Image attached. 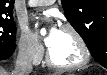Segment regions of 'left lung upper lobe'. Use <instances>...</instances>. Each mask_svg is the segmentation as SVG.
<instances>
[{
	"label": "left lung upper lobe",
	"mask_w": 107,
	"mask_h": 75,
	"mask_svg": "<svg viewBox=\"0 0 107 75\" xmlns=\"http://www.w3.org/2000/svg\"><path fill=\"white\" fill-rule=\"evenodd\" d=\"M61 2L67 20L84 39L91 54L96 53L102 46L107 49V0ZM104 67L107 68L106 65Z\"/></svg>",
	"instance_id": "5c2ea615"
}]
</instances>
